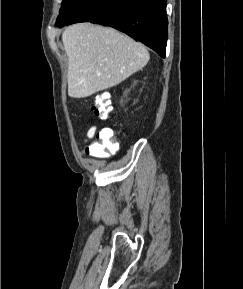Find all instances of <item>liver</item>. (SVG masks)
<instances>
[{
  "mask_svg": "<svg viewBox=\"0 0 243 289\" xmlns=\"http://www.w3.org/2000/svg\"><path fill=\"white\" fill-rule=\"evenodd\" d=\"M68 57V95L85 98L116 86L149 61L146 47L117 30L90 23L69 26L62 34Z\"/></svg>",
  "mask_w": 243,
  "mask_h": 289,
  "instance_id": "6515ba94",
  "label": "liver"
}]
</instances>
